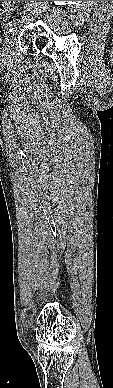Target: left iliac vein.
Returning <instances> with one entry per match:
<instances>
[{
    "instance_id": "1",
    "label": "left iliac vein",
    "mask_w": 113,
    "mask_h": 388,
    "mask_svg": "<svg viewBox=\"0 0 113 388\" xmlns=\"http://www.w3.org/2000/svg\"><path fill=\"white\" fill-rule=\"evenodd\" d=\"M15 40V30L6 38L1 50H0V55L2 57L8 56V54L11 51V47L13 45V42Z\"/></svg>"
}]
</instances>
